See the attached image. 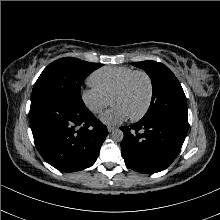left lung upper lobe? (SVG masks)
<instances>
[{
    "label": "left lung upper lobe",
    "instance_id": "left-lung-upper-lobe-1",
    "mask_svg": "<svg viewBox=\"0 0 220 220\" xmlns=\"http://www.w3.org/2000/svg\"><path fill=\"white\" fill-rule=\"evenodd\" d=\"M133 65L145 70L152 81L151 104L141 121L168 118L188 127L186 96L173 72L155 61L134 62Z\"/></svg>",
    "mask_w": 220,
    "mask_h": 220
}]
</instances>
